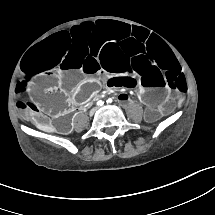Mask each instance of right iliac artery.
<instances>
[{
    "label": "right iliac artery",
    "mask_w": 215,
    "mask_h": 215,
    "mask_svg": "<svg viewBox=\"0 0 215 215\" xmlns=\"http://www.w3.org/2000/svg\"><path fill=\"white\" fill-rule=\"evenodd\" d=\"M103 104H104V102L101 101V100L97 102V105H98V106H102Z\"/></svg>",
    "instance_id": "82829eb1"
}]
</instances>
